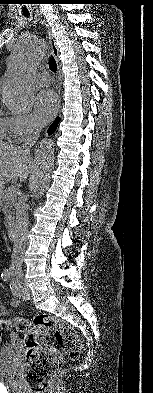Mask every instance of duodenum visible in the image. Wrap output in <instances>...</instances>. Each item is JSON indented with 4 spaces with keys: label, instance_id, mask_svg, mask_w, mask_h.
<instances>
[{
    "label": "duodenum",
    "instance_id": "duodenum-1",
    "mask_svg": "<svg viewBox=\"0 0 153 393\" xmlns=\"http://www.w3.org/2000/svg\"><path fill=\"white\" fill-rule=\"evenodd\" d=\"M8 236L10 239L15 240L17 237V228L15 226H11L8 229Z\"/></svg>",
    "mask_w": 153,
    "mask_h": 393
}]
</instances>
